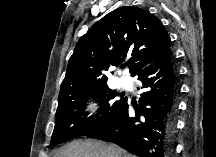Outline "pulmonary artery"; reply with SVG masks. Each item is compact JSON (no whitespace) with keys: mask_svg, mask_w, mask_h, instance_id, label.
I'll return each instance as SVG.
<instances>
[{"mask_svg":"<svg viewBox=\"0 0 216 157\" xmlns=\"http://www.w3.org/2000/svg\"><path fill=\"white\" fill-rule=\"evenodd\" d=\"M119 83L120 85L123 87V88H130L131 87V81L125 77V76H121L120 79H119Z\"/></svg>","mask_w":216,"mask_h":157,"instance_id":"e3ab8cb5","label":"pulmonary artery"}]
</instances>
